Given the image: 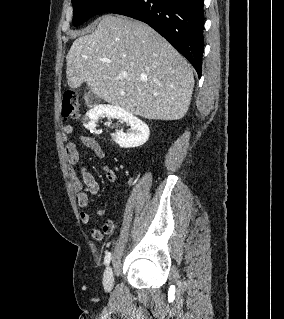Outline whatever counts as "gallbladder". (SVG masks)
Wrapping results in <instances>:
<instances>
[{
    "label": "gallbladder",
    "mask_w": 284,
    "mask_h": 319,
    "mask_svg": "<svg viewBox=\"0 0 284 319\" xmlns=\"http://www.w3.org/2000/svg\"><path fill=\"white\" fill-rule=\"evenodd\" d=\"M85 101L88 106H95L101 102V98L90 92L86 96Z\"/></svg>",
    "instance_id": "bac80fb5"
}]
</instances>
